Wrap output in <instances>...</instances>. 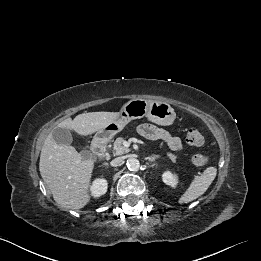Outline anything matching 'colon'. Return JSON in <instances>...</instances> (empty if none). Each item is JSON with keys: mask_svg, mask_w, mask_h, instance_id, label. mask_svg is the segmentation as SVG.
Returning a JSON list of instances; mask_svg holds the SVG:
<instances>
[{"mask_svg": "<svg viewBox=\"0 0 261 261\" xmlns=\"http://www.w3.org/2000/svg\"><path fill=\"white\" fill-rule=\"evenodd\" d=\"M186 141L192 146H200L203 144L204 137L197 125L192 124L188 128L186 133ZM208 159V156L204 153H196L192 157V161L196 166L205 165L208 162Z\"/></svg>", "mask_w": 261, "mask_h": 261, "instance_id": "obj_1", "label": "colon"}]
</instances>
